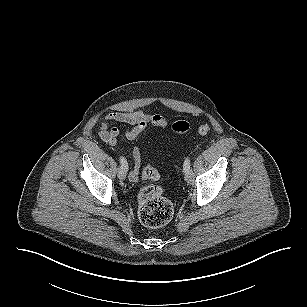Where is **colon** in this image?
Here are the masks:
<instances>
[{"instance_id":"1","label":"colon","mask_w":307,"mask_h":307,"mask_svg":"<svg viewBox=\"0 0 307 307\" xmlns=\"http://www.w3.org/2000/svg\"><path fill=\"white\" fill-rule=\"evenodd\" d=\"M190 124L186 121H177L172 125L173 132L184 134L190 130ZM209 124H202L198 127L200 135H207L210 132ZM142 177L150 182L143 186L138 193V217L147 227L158 228L167 224L173 215V205L163 195L162 188L154 183L159 179L158 170L147 165L142 172Z\"/></svg>"}]
</instances>
